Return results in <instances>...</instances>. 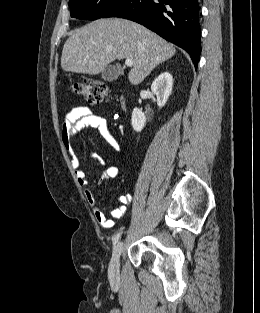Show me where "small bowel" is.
Wrapping results in <instances>:
<instances>
[{
	"label": "small bowel",
	"instance_id": "1",
	"mask_svg": "<svg viewBox=\"0 0 260 313\" xmlns=\"http://www.w3.org/2000/svg\"><path fill=\"white\" fill-rule=\"evenodd\" d=\"M108 124V118L93 113L89 107L79 106L68 112L61 130V140L71 156V166L75 172L76 179L84 190L86 200L93 210L96 221L104 228H112L115 221L126 213L127 207L132 202L133 196L131 194L122 195L120 197L121 206L112 210L109 216H107L100 209L97 200L90 189L86 174L81 169L79 158L74 151V139L83 129L96 128L111 148L115 151H120L121 145L110 132ZM119 172V166H109L102 173L101 180L114 179L119 175Z\"/></svg>",
	"mask_w": 260,
	"mask_h": 313
}]
</instances>
